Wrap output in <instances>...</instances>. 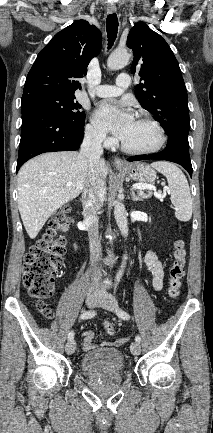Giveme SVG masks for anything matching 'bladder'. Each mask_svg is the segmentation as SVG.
I'll return each instance as SVG.
<instances>
[{"instance_id": "31cf9c89", "label": "bladder", "mask_w": 213, "mask_h": 433, "mask_svg": "<svg viewBox=\"0 0 213 433\" xmlns=\"http://www.w3.org/2000/svg\"><path fill=\"white\" fill-rule=\"evenodd\" d=\"M125 367L124 356L116 348H98L81 357L80 370L90 377L120 374Z\"/></svg>"}]
</instances>
